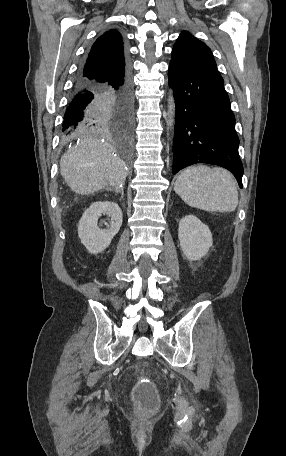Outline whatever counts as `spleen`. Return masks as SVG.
<instances>
[{"label": "spleen", "mask_w": 286, "mask_h": 456, "mask_svg": "<svg viewBox=\"0 0 286 456\" xmlns=\"http://www.w3.org/2000/svg\"><path fill=\"white\" fill-rule=\"evenodd\" d=\"M174 191L190 207L220 213L232 212L238 205L237 184L222 168L191 166L178 176Z\"/></svg>", "instance_id": "1"}]
</instances>
